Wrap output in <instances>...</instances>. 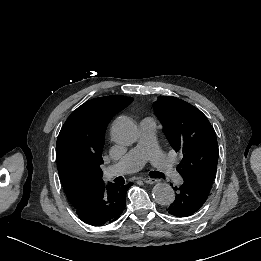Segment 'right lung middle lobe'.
I'll use <instances>...</instances> for the list:
<instances>
[{"label":"right lung middle lobe","mask_w":261,"mask_h":261,"mask_svg":"<svg viewBox=\"0 0 261 261\" xmlns=\"http://www.w3.org/2000/svg\"><path fill=\"white\" fill-rule=\"evenodd\" d=\"M100 164L95 161L83 162L78 159H71L65 177L77 186L90 185L96 177L103 174L99 166Z\"/></svg>","instance_id":"obj_1"}]
</instances>
